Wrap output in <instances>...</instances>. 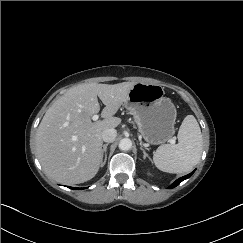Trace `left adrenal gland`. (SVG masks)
I'll return each mask as SVG.
<instances>
[{"instance_id": "obj_1", "label": "left adrenal gland", "mask_w": 243, "mask_h": 243, "mask_svg": "<svg viewBox=\"0 0 243 243\" xmlns=\"http://www.w3.org/2000/svg\"><path fill=\"white\" fill-rule=\"evenodd\" d=\"M140 149L142 150V152L144 154L143 155V158L144 159L148 158L150 161H152L151 157L146 153V151L142 147H140Z\"/></svg>"}]
</instances>
